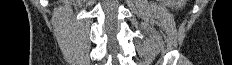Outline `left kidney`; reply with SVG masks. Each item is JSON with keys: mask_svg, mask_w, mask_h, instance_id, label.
<instances>
[{"mask_svg": "<svg viewBox=\"0 0 232 65\" xmlns=\"http://www.w3.org/2000/svg\"><path fill=\"white\" fill-rule=\"evenodd\" d=\"M166 5L170 8H181L184 4V0H164Z\"/></svg>", "mask_w": 232, "mask_h": 65, "instance_id": "1", "label": "left kidney"}]
</instances>
